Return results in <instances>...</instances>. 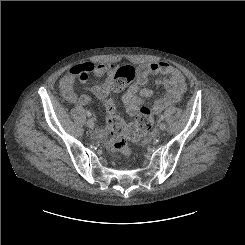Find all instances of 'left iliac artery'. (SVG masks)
<instances>
[{"mask_svg":"<svg viewBox=\"0 0 245 245\" xmlns=\"http://www.w3.org/2000/svg\"><path fill=\"white\" fill-rule=\"evenodd\" d=\"M163 119H164V115L161 114V115H160V120H163Z\"/></svg>","mask_w":245,"mask_h":245,"instance_id":"44dca946","label":"left iliac artery"}]
</instances>
